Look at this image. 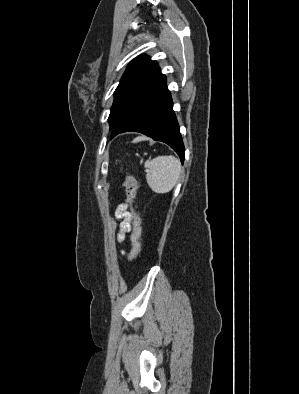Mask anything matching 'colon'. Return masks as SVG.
I'll list each match as a JSON object with an SVG mask.
<instances>
[{
    "label": "colon",
    "instance_id": "5ec220e1",
    "mask_svg": "<svg viewBox=\"0 0 299 394\" xmlns=\"http://www.w3.org/2000/svg\"><path fill=\"white\" fill-rule=\"evenodd\" d=\"M123 187L126 192V201L129 205V211L132 215L133 227L131 234L132 249H131L130 259L131 261H134L139 256L141 251V243H140L141 231H142L141 219L133 206L138 190V183L136 179L133 178L132 176H126L123 181Z\"/></svg>",
    "mask_w": 299,
    "mask_h": 394
}]
</instances>
